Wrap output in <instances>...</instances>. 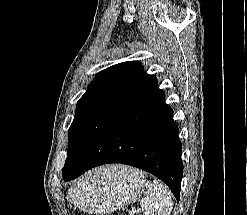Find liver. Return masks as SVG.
<instances>
[{
  "mask_svg": "<svg viewBox=\"0 0 247 215\" xmlns=\"http://www.w3.org/2000/svg\"><path fill=\"white\" fill-rule=\"evenodd\" d=\"M123 170H125V171H126V170H128V169H127L126 167H123ZM110 176H111V177H113V176H114V174H112V173H111V174H110Z\"/></svg>",
  "mask_w": 247,
  "mask_h": 215,
  "instance_id": "obj_1",
  "label": "liver"
}]
</instances>
